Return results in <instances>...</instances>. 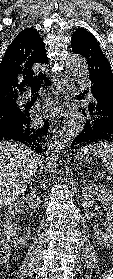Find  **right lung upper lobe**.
I'll return each instance as SVG.
<instances>
[{
	"instance_id": "right-lung-upper-lobe-1",
	"label": "right lung upper lobe",
	"mask_w": 113,
	"mask_h": 279,
	"mask_svg": "<svg viewBox=\"0 0 113 279\" xmlns=\"http://www.w3.org/2000/svg\"><path fill=\"white\" fill-rule=\"evenodd\" d=\"M36 63H47L46 49L38 32L27 28L12 41L0 63V109L16 103L25 80L35 74Z\"/></svg>"
}]
</instances>
